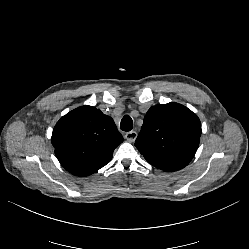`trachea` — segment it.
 Listing matches in <instances>:
<instances>
[{"label": "trachea", "instance_id": "3493384b", "mask_svg": "<svg viewBox=\"0 0 249 249\" xmlns=\"http://www.w3.org/2000/svg\"><path fill=\"white\" fill-rule=\"evenodd\" d=\"M133 122L130 116L125 115L121 120V130L128 132L132 130Z\"/></svg>", "mask_w": 249, "mask_h": 249}]
</instances>
